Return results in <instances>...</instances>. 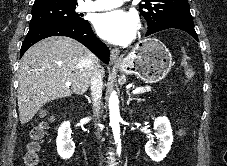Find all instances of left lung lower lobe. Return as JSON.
I'll return each instance as SVG.
<instances>
[{
    "label": "left lung lower lobe",
    "instance_id": "left-lung-lower-lobe-1",
    "mask_svg": "<svg viewBox=\"0 0 227 166\" xmlns=\"http://www.w3.org/2000/svg\"><path fill=\"white\" fill-rule=\"evenodd\" d=\"M165 29H179V30H183L187 33H189L192 37H194L197 41L198 40V36L195 32V29H194V24H193V21L190 22V21H186V22H183V23H179V24H175V25H172V26H169ZM163 29V30H165ZM146 36H148L146 34Z\"/></svg>",
    "mask_w": 227,
    "mask_h": 166
}]
</instances>
